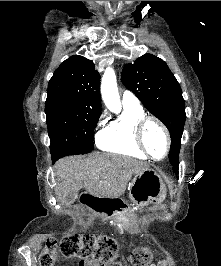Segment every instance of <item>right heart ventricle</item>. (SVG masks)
<instances>
[{
    "label": "right heart ventricle",
    "mask_w": 221,
    "mask_h": 266,
    "mask_svg": "<svg viewBox=\"0 0 221 266\" xmlns=\"http://www.w3.org/2000/svg\"><path fill=\"white\" fill-rule=\"evenodd\" d=\"M145 115L141 106H124L120 117L111 120L97 136L98 147L106 152L147 159L135 140L136 122Z\"/></svg>",
    "instance_id": "e07e8e85"
}]
</instances>
